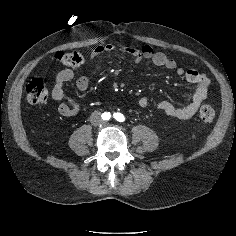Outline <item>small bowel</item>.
Here are the masks:
<instances>
[{
  "label": "small bowel",
  "mask_w": 236,
  "mask_h": 236,
  "mask_svg": "<svg viewBox=\"0 0 236 236\" xmlns=\"http://www.w3.org/2000/svg\"><path fill=\"white\" fill-rule=\"evenodd\" d=\"M119 51L129 55L135 62L142 60H150L154 65L163 67L169 70H174L178 76L183 77L189 84L195 86L194 91L189 96L187 103L183 106H177L169 101H159L156 107L165 114L178 119H189L196 114L201 103L206 99L209 79L206 75L200 73L195 69H183L178 67L176 61L168 57L165 53L156 51L152 46L144 45L140 48L132 46H117L112 43L99 45L95 47L90 53V59L94 60L99 55L105 52ZM74 78V72L71 69H64L60 71L53 86L51 96L57 101L58 112L64 117H71L79 112L78 103L65 91V85ZM91 80L88 76H80L76 80V86L80 91H85L89 88ZM138 104L141 108H147L150 105V100L147 97L139 99Z\"/></svg>",
  "instance_id": "c3829d8e"
}]
</instances>
